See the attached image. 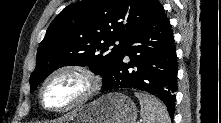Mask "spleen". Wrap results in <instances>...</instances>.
I'll return each mask as SVG.
<instances>
[{"label": "spleen", "mask_w": 221, "mask_h": 123, "mask_svg": "<svg viewBox=\"0 0 221 123\" xmlns=\"http://www.w3.org/2000/svg\"><path fill=\"white\" fill-rule=\"evenodd\" d=\"M141 106V117L144 123H171L167 108L156 98L135 93Z\"/></svg>", "instance_id": "1"}]
</instances>
